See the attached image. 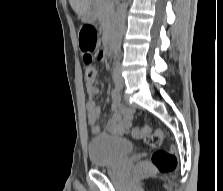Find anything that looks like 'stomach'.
Listing matches in <instances>:
<instances>
[{
	"label": "stomach",
	"instance_id": "obj_1",
	"mask_svg": "<svg viewBox=\"0 0 223 191\" xmlns=\"http://www.w3.org/2000/svg\"><path fill=\"white\" fill-rule=\"evenodd\" d=\"M82 21L86 23H91L95 19V14L93 10L89 7L82 13Z\"/></svg>",
	"mask_w": 223,
	"mask_h": 191
}]
</instances>
